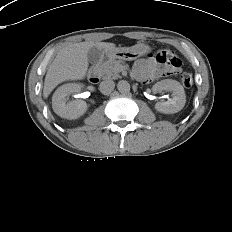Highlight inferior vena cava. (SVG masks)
<instances>
[{
  "label": "inferior vena cava",
  "instance_id": "1",
  "mask_svg": "<svg viewBox=\"0 0 232 232\" xmlns=\"http://www.w3.org/2000/svg\"><path fill=\"white\" fill-rule=\"evenodd\" d=\"M115 87V83L114 81L108 79V80H104L100 83L99 85V90L102 94L104 95H108L112 92V90Z\"/></svg>",
  "mask_w": 232,
  "mask_h": 232
}]
</instances>
